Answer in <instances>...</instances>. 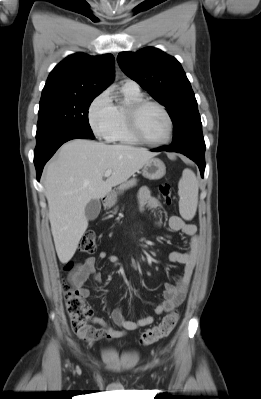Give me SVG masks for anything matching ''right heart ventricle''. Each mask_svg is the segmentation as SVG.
I'll list each match as a JSON object with an SVG mask.
<instances>
[{"label": "right heart ventricle", "mask_w": 261, "mask_h": 399, "mask_svg": "<svg viewBox=\"0 0 261 399\" xmlns=\"http://www.w3.org/2000/svg\"><path fill=\"white\" fill-rule=\"evenodd\" d=\"M123 93L125 95L128 104L142 99V94L140 93V91L132 92L123 89ZM126 108L127 106H115V124L110 140L118 141L121 143L134 144L137 143L138 141L135 140L128 131L126 118H125Z\"/></svg>", "instance_id": "obj_1"}]
</instances>
